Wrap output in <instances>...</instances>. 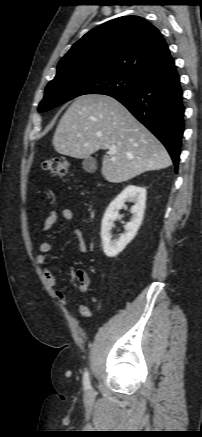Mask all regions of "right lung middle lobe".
Masks as SVG:
<instances>
[{"label":"right lung middle lobe","mask_w":202,"mask_h":437,"mask_svg":"<svg viewBox=\"0 0 202 437\" xmlns=\"http://www.w3.org/2000/svg\"><path fill=\"white\" fill-rule=\"evenodd\" d=\"M143 80L116 72L70 71L55 77L45 89L38 111L50 110L85 94L114 95L137 89Z\"/></svg>","instance_id":"1"}]
</instances>
